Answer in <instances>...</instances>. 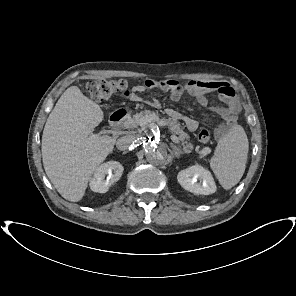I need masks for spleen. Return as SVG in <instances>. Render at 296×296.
I'll return each instance as SVG.
<instances>
[{"instance_id":"1","label":"spleen","mask_w":296,"mask_h":296,"mask_svg":"<svg viewBox=\"0 0 296 296\" xmlns=\"http://www.w3.org/2000/svg\"><path fill=\"white\" fill-rule=\"evenodd\" d=\"M248 150L247 135L241 126L232 128L218 141L210 167L224 189H231L242 178Z\"/></svg>"}]
</instances>
